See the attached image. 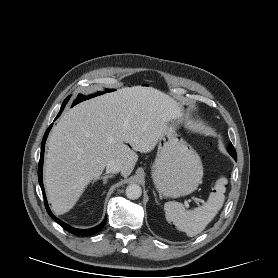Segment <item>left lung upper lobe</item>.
<instances>
[{
    "label": "left lung upper lobe",
    "instance_id": "1",
    "mask_svg": "<svg viewBox=\"0 0 278 278\" xmlns=\"http://www.w3.org/2000/svg\"><path fill=\"white\" fill-rule=\"evenodd\" d=\"M228 152L233 158L237 157L236 151L231 143L228 145Z\"/></svg>",
    "mask_w": 278,
    "mask_h": 278
}]
</instances>
